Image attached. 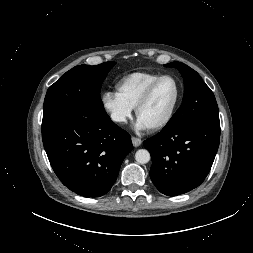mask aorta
<instances>
[{"mask_svg": "<svg viewBox=\"0 0 253 253\" xmlns=\"http://www.w3.org/2000/svg\"><path fill=\"white\" fill-rule=\"evenodd\" d=\"M135 160L139 163V164H146L150 161V153L148 150L146 149H139L136 153H135Z\"/></svg>", "mask_w": 253, "mask_h": 253, "instance_id": "1", "label": "aorta"}]
</instances>
